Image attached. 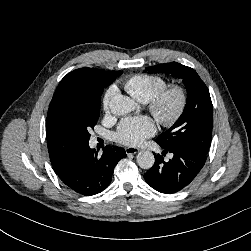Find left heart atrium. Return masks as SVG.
I'll list each match as a JSON object with an SVG mask.
<instances>
[{
	"mask_svg": "<svg viewBox=\"0 0 251 251\" xmlns=\"http://www.w3.org/2000/svg\"><path fill=\"white\" fill-rule=\"evenodd\" d=\"M155 124L147 116L124 119L115 134V139L125 146H138L155 133Z\"/></svg>",
	"mask_w": 251,
	"mask_h": 251,
	"instance_id": "obj_1",
	"label": "left heart atrium"
}]
</instances>
